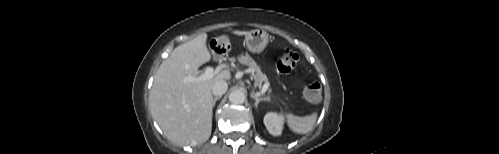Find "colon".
I'll return each instance as SVG.
<instances>
[{
	"label": "colon",
	"instance_id": "1",
	"mask_svg": "<svg viewBox=\"0 0 499 154\" xmlns=\"http://www.w3.org/2000/svg\"><path fill=\"white\" fill-rule=\"evenodd\" d=\"M299 55L291 50L285 49L280 57L277 67L281 73L288 74L295 70L298 65ZM305 98L310 102H318L322 96V89L318 82L310 83L304 91Z\"/></svg>",
	"mask_w": 499,
	"mask_h": 154
}]
</instances>
